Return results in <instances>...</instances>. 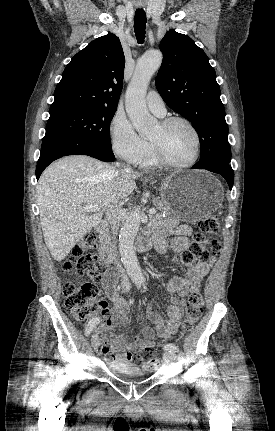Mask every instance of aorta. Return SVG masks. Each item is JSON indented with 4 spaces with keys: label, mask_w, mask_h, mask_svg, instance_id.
<instances>
[{
    "label": "aorta",
    "mask_w": 275,
    "mask_h": 431,
    "mask_svg": "<svg viewBox=\"0 0 275 431\" xmlns=\"http://www.w3.org/2000/svg\"><path fill=\"white\" fill-rule=\"evenodd\" d=\"M161 63L162 53L160 51L146 52L138 60L126 91V112L133 126L142 137L148 136L156 124V120L147 109L145 95L148 84ZM140 223V209L136 208L125 221L119 236V252L122 263L128 275L137 284L144 281V276L134 251V240Z\"/></svg>",
    "instance_id": "aorta-1"
}]
</instances>
